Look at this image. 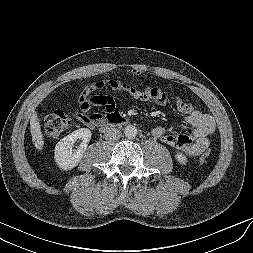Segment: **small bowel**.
Segmentation results:
<instances>
[{"instance_id": "obj_1", "label": "small bowel", "mask_w": 253, "mask_h": 253, "mask_svg": "<svg viewBox=\"0 0 253 253\" xmlns=\"http://www.w3.org/2000/svg\"><path fill=\"white\" fill-rule=\"evenodd\" d=\"M138 74L137 71H131ZM101 89H109L123 93L129 98L142 102H154L160 106L169 103L168 94L158 87L137 89L130 84L118 79L99 80L86 85L78 99L79 113L76 118L85 126L93 128L101 124L104 117L101 113L92 112L93 107H100L107 116L115 112V101L109 96L94 95ZM176 109L185 115L186 122L192 126L190 134H169L164 127L157 126L152 129V136L164 144L182 151L188 157H196L203 153L210 144V137L216 130V124L212 116L204 114L186 101L176 98Z\"/></svg>"}]
</instances>
